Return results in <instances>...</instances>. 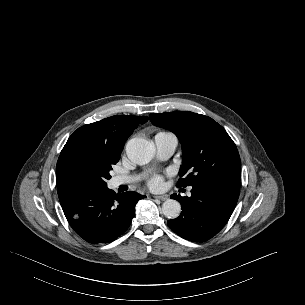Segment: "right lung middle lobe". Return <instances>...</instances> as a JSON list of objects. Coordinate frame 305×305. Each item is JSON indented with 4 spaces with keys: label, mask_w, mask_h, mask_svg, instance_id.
<instances>
[{
    "label": "right lung middle lobe",
    "mask_w": 305,
    "mask_h": 305,
    "mask_svg": "<svg viewBox=\"0 0 305 305\" xmlns=\"http://www.w3.org/2000/svg\"><path fill=\"white\" fill-rule=\"evenodd\" d=\"M119 159L120 154L91 139H68L57 162V187L105 188Z\"/></svg>",
    "instance_id": "dd1d6c3e"
}]
</instances>
